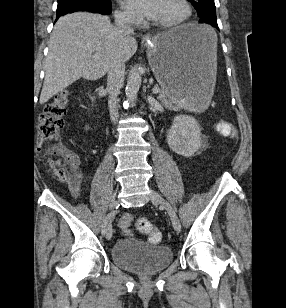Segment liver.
I'll return each mask as SVG.
<instances>
[{
	"instance_id": "6515ba94",
	"label": "liver",
	"mask_w": 286,
	"mask_h": 308,
	"mask_svg": "<svg viewBox=\"0 0 286 308\" xmlns=\"http://www.w3.org/2000/svg\"><path fill=\"white\" fill-rule=\"evenodd\" d=\"M137 47L135 37L114 27L107 16L77 12L60 17L48 43L40 104L80 78H102L115 60L128 61Z\"/></svg>"
}]
</instances>
